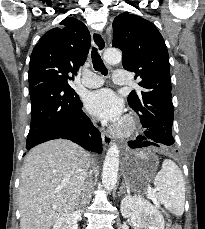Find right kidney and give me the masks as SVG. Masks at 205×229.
<instances>
[{"instance_id": "obj_1", "label": "right kidney", "mask_w": 205, "mask_h": 229, "mask_svg": "<svg viewBox=\"0 0 205 229\" xmlns=\"http://www.w3.org/2000/svg\"><path fill=\"white\" fill-rule=\"evenodd\" d=\"M72 216L65 214L56 220L52 229H72Z\"/></svg>"}]
</instances>
